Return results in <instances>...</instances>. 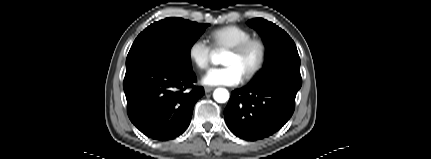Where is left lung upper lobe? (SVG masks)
<instances>
[{"label":"left lung upper lobe","mask_w":431,"mask_h":159,"mask_svg":"<svg viewBox=\"0 0 431 159\" xmlns=\"http://www.w3.org/2000/svg\"><path fill=\"white\" fill-rule=\"evenodd\" d=\"M247 24L257 30L266 47L264 68L251 84L261 83L276 75L301 77L296 45L284 30L262 18L251 19Z\"/></svg>","instance_id":"5c2ea615"}]
</instances>
